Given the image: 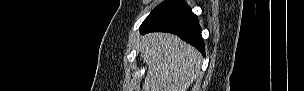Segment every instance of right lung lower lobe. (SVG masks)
Listing matches in <instances>:
<instances>
[{
	"mask_svg": "<svg viewBox=\"0 0 304 91\" xmlns=\"http://www.w3.org/2000/svg\"><path fill=\"white\" fill-rule=\"evenodd\" d=\"M140 31L176 34L205 55L197 16L180 0H167L157 6L141 24Z\"/></svg>",
	"mask_w": 304,
	"mask_h": 91,
	"instance_id": "obj_1",
	"label": "right lung lower lobe"
}]
</instances>
